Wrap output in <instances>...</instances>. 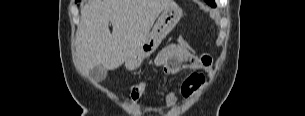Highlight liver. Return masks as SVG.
<instances>
[{"label":"liver","instance_id":"1","mask_svg":"<svg viewBox=\"0 0 305 116\" xmlns=\"http://www.w3.org/2000/svg\"><path fill=\"white\" fill-rule=\"evenodd\" d=\"M176 6L174 0H88L76 34L78 71L88 77L95 66L118 68L141 45L160 13Z\"/></svg>","mask_w":305,"mask_h":116}]
</instances>
